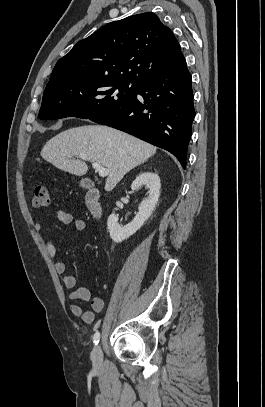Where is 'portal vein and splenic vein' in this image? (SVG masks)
Masks as SVG:
<instances>
[{"label":"portal vein and splenic vein","mask_w":265,"mask_h":407,"mask_svg":"<svg viewBox=\"0 0 265 407\" xmlns=\"http://www.w3.org/2000/svg\"><path fill=\"white\" fill-rule=\"evenodd\" d=\"M78 157L82 160H87V157L85 155H79ZM92 167L99 173L100 177H106L109 174V170L99 163L92 162Z\"/></svg>","instance_id":"18ae733b"}]
</instances>
